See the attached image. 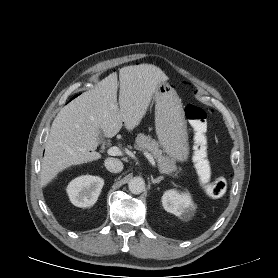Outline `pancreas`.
I'll return each instance as SVG.
<instances>
[{
  "label": "pancreas",
  "instance_id": "1",
  "mask_svg": "<svg viewBox=\"0 0 278 278\" xmlns=\"http://www.w3.org/2000/svg\"><path fill=\"white\" fill-rule=\"evenodd\" d=\"M135 149L150 152L157 160L159 171L165 175L177 177L179 170L175 165V160L165 156L160 149L159 143L143 133H139L135 140Z\"/></svg>",
  "mask_w": 278,
  "mask_h": 278
}]
</instances>
